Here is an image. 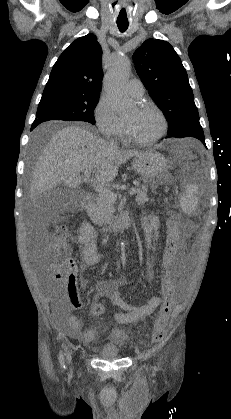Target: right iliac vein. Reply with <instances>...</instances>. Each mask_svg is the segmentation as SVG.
<instances>
[{
    "label": "right iliac vein",
    "instance_id": "right-iliac-vein-1",
    "mask_svg": "<svg viewBox=\"0 0 231 419\" xmlns=\"http://www.w3.org/2000/svg\"><path fill=\"white\" fill-rule=\"evenodd\" d=\"M67 360H68V363H70V361H71V356H70V353H69V352L67 353Z\"/></svg>",
    "mask_w": 231,
    "mask_h": 419
}]
</instances>
